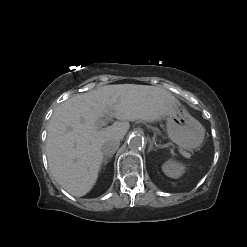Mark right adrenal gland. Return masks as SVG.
<instances>
[{
    "instance_id": "1",
    "label": "right adrenal gland",
    "mask_w": 247,
    "mask_h": 247,
    "mask_svg": "<svg viewBox=\"0 0 247 247\" xmlns=\"http://www.w3.org/2000/svg\"><path fill=\"white\" fill-rule=\"evenodd\" d=\"M112 158V156H107V157H105L104 159H103V161H102V165H107L108 164V162H109V160Z\"/></svg>"
}]
</instances>
